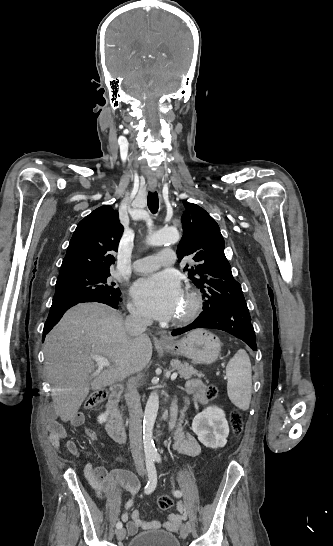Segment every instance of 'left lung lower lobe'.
Segmentation results:
<instances>
[{"instance_id": "obj_1", "label": "left lung lower lobe", "mask_w": 333, "mask_h": 546, "mask_svg": "<svg viewBox=\"0 0 333 546\" xmlns=\"http://www.w3.org/2000/svg\"><path fill=\"white\" fill-rule=\"evenodd\" d=\"M213 309L203 311L192 324L172 331L180 335L196 328H212L226 331L243 340L253 351L257 350L256 337L246 303L223 305L214 303Z\"/></svg>"}]
</instances>
